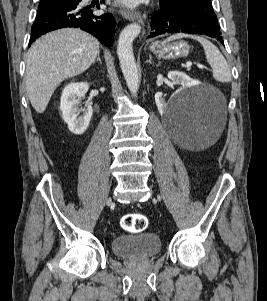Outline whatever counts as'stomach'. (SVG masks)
<instances>
[{"mask_svg": "<svg viewBox=\"0 0 267 301\" xmlns=\"http://www.w3.org/2000/svg\"><path fill=\"white\" fill-rule=\"evenodd\" d=\"M151 51L158 57L164 59H177L188 55L190 47L187 42L179 41L172 43H153Z\"/></svg>", "mask_w": 267, "mask_h": 301, "instance_id": "obj_1", "label": "stomach"}]
</instances>
